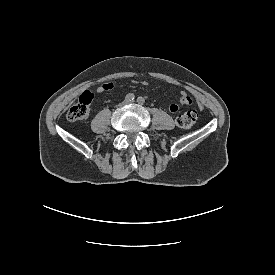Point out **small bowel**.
<instances>
[{
	"label": "small bowel",
	"instance_id": "small-bowel-1",
	"mask_svg": "<svg viewBox=\"0 0 275 275\" xmlns=\"http://www.w3.org/2000/svg\"><path fill=\"white\" fill-rule=\"evenodd\" d=\"M146 83L143 82V85H145ZM114 89V84L112 82H104L101 85L98 86V88L96 89L97 93H103V92H107V91H111ZM180 104L181 105H189L192 103V98L190 97V95L186 92V91H182L181 92V96H180ZM179 109V105L178 104H171L169 106V110L171 112H176Z\"/></svg>",
	"mask_w": 275,
	"mask_h": 275
}]
</instances>
